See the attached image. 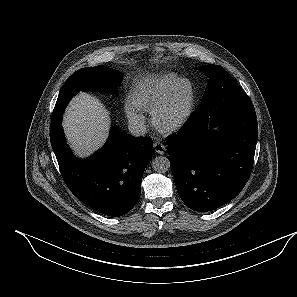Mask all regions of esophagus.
<instances>
[{"mask_svg":"<svg viewBox=\"0 0 297 297\" xmlns=\"http://www.w3.org/2000/svg\"><path fill=\"white\" fill-rule=\"evenodd\" d=\"M153 146H154V150H155L156 153H158L160 155L165 153L166 148L159 141H156Z\"/></svg>","mask_w":297,"mask_h":297,"instance_id":"1","label":"esophagus"}]
</instances>
